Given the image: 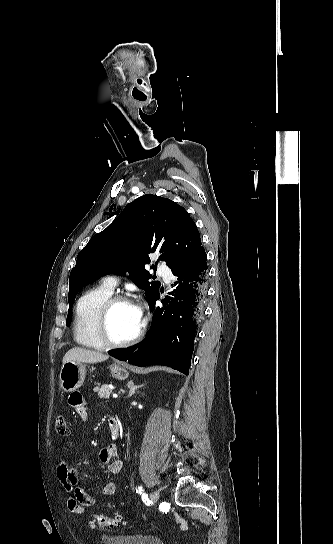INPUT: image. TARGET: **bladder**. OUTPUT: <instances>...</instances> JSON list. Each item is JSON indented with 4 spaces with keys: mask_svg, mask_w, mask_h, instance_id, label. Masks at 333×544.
I'll list each match as a JSON object with an SVG mask.
<instances>
[{
    "mask_svg": "<svg viewBox=\"0 0 333 544\" xmlns=\"http://www.w3.org/2000/svg\"><path fill=\"white\" fill-rule=\"evenodd\" d=\"M103 544H164V542L153 535H106L102 538Z\"/></svg>",
    "mask_w": 333,
    "mask_h": 544,
    "instance_id": "31cf9c89",
    "label": "bladder"
}]
</instances>
